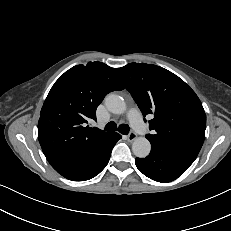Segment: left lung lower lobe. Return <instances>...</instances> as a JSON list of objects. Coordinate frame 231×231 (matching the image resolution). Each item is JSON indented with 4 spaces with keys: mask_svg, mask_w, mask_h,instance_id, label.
Returning a JSON list of instances; mask_svg holds the SVG:
<instances>
[{
    "mask_svg": "<svg viewBox=\"0 0 231 231\" xmlns=\"http://www.w3.org/2000/svg\"><path fill=\"white\" fill-rule=\"evenodd\" d=\"M198 153L175 147L152 145L146 158H136L137 168L158 182H170L182 175L194 162Z\"/></svg>",
    "mask_w": 231,
    "mask_h": 231,
    "instance_id": "0a47b994",
    "label": "left lung lower lobe"
}]
</instances>
